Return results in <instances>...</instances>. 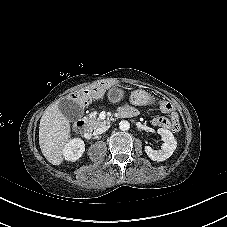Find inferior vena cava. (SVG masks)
<instances>
[{
    "mask_svg": "<svg viewBox=\"0 0 227 227\" xmlns=\"http://www.w3.org/2000/svg\"><path fill=\"white\" fill-rule=\"evenodd\" d=\"M109 129V126L108 125H102L100 127H98L95 131H94V134L96 135H99V134H102L104 133L106 130Z\"/></svg>",
    "mask_w": 227,
    "mask_h": 227,
    "instance_id": "602c4592",
    "label": "inferior vena cava"
}]
</instances>
